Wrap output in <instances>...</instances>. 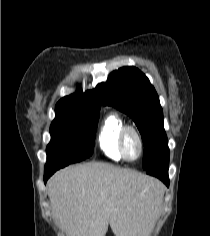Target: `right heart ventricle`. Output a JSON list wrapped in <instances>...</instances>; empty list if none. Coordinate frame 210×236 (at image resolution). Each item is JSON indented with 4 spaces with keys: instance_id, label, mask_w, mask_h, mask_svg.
<instances>
[{
    "instance_id": "e07e8e85",
    "label": "right heart ventricle",
    "mask_w": 210,
    "mask_h": 236,
    "mask_svg": "<svg viewBox=\"0 0 210 236\" xmlns=\"http://www.w3.org/2000/svg\"><path fill=\"white\" fill-rule=\"evenodd\" d=\"M124 125L125 122L116 113H108L100 125L98 134L99 147L107 157L113 160L123 159L118 146V138Z\"/></svg>"
}]
</instances>
